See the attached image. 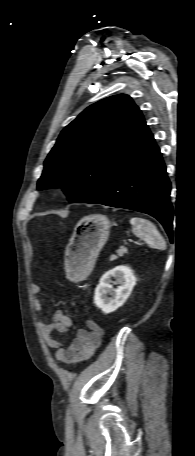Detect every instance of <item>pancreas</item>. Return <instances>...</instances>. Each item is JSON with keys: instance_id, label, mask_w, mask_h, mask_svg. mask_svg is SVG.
<instances>
[{"instance_id": "obj_1", "label": "pancreas", "mask_w": 195, "mask_h": 456, "mask_svg": "<svg viewBox=\"0 0 195 456\" xmlns=\"http://www.w3.org/2000/svg\"><path fill=\"white\" fill-rule=\"evenodd\" d=\"M125 253H128L127 248L124 247V246H121V247L116 251V255H111V256H110V260H111V261L116 260L118 257H122Z\"/></svg>"}]
</instances>
